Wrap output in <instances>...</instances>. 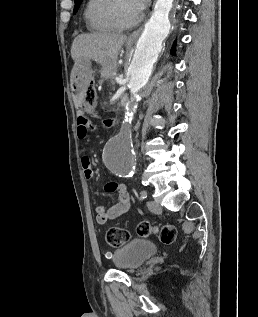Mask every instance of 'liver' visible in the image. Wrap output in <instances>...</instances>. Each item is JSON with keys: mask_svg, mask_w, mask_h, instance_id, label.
Wrapping results in <instances>:
<instances>
[{"mask_svg": "<svg viewBox=\"0 0 258 317\" xmlns=\"http://www.w3.org/2000/svg\"><path fill=\"white\" fill-rule=\"evenodd\" d=\"M126 38V34L107 30L78 34L72 42L71 56L75 62L80 58H93L102 64L103 70H114L119 50Z\"/></svg>", "mask_w": 258, "mask_h": 317, "instance_id": "liver-1", "label": "liver"}]
</instances>
